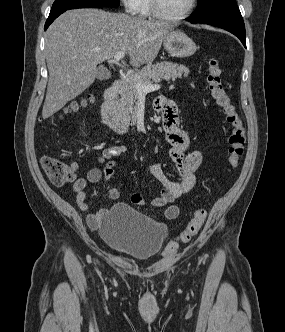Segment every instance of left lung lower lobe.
I'll return each mask as SVG.
<instances>
[{
  "label": "left lung lower lobe",
  "instance_id": "obj_1",
  "mask_svg": "<svg viewBox=\"0 0 285 332\" xmlns=\"http://www.w3.org/2000/svg\"><path fill=\"white\" fill-rule=\"evenodd\" d=\"M191 23H205L208 25L220 27L225 29L235 36H237L242 44L246 47V38H245V26L242 17L240 18H230V19H220V20H212V21H198L194 19H190Z\"/></svg>",
  "mask_w": 285,
  "mask_h": 332
}]
</instances>
